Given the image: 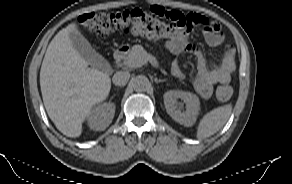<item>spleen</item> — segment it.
<instances>
[{"label": "spleen", "mask_w": 292, "mask_h": 184, "mask_svg": "<svg viewBox=\"0 0 292 184\" xmlns=\"http://www.w3.org/2000/svg\"><path fill=\"white\" fill-rule=\"evenodd\" d=\"M232 105L217 107L203 116L197 127V138L204 139L219 131L229 119Z\"/></svg>", "instance_id": "obj_1"}]
</instances>
